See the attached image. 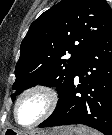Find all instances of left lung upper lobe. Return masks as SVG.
Here are the masks:
<instances>
[{
	"label": "left lung upper lobe",
	"instance_id": "left-lung-upper-lobe-1",
	"mask_svg": "<svg viewBox=\"0 0 112 135\" xmlns=\"http://www.w3.org/2000/svg\"><path fill=\"white\" fill-rule=\"evenodd\" d=\"M112 24L105 0H62L30 26L15 67V95L30 87L66 90L84 55ZM71 56H70V55Z\"/></svg>",
	"mask_w": 112,
	"mask_h": 135
}]
</instances>
